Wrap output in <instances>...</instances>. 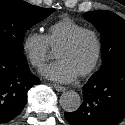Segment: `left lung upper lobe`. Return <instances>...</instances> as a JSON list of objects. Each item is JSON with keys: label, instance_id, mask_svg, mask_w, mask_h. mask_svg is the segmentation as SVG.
I'll list each match as a JSON object with an SVG mask.
<instances>
[{"label": "left lung upper lobe", "instance_id": "left-lung-upper-lobe-1", "mask_svg": "<svg viewBox=\"0 0 125 125\" xmlns=\"http://www.w3.org/2000/svg\"><path fill=\"white\" fill-rule=\"evenodd\" d=\"M84 18L92 23L102 36V66L98 72L114 63L125 62V20L106 10L87 12Z\"/></svg>", "mask_w": 125, "mask_h": 125}]
</instances>
